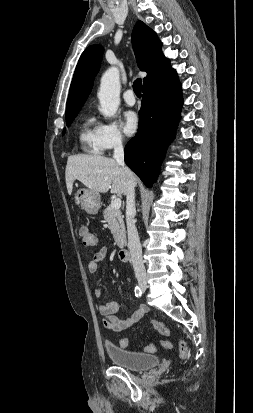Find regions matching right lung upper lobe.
Listing matches in <instances>:
<instances>
[{"mask_svg": "<svg viewBox=\"0 0 253 413\" xmlns=\"http://www.w3.org/2000/svg\"><path fill=\"white\" fill-rule=\"evenodd\" d=\"M132 45L138 67L147 72L143 79V88L173 70L162 53V44L156 33L142 21H138L133 29ZM102 53L103 47L100 45L89 46L82 53L71 82L66 117L77 114L86 101L100 68Z\"/></svg>", "mask_w": 253, "mask_h": 413, "instance_id": "right-lung-upper-lobe-1", "label": "right lung upper lobe"}]
</instances>
